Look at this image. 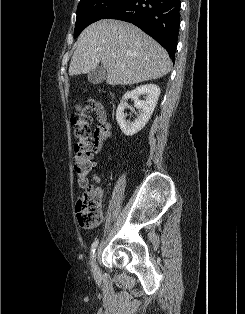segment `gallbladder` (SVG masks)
I'll return each instance as SVG.
<instances>
[{
  "instance_id": "bac80fb5",
  "label": "gallbladder",
  "mask_w": 245,
  "mask_h": 314,
  "mask_svg": "<svg viewBox=\"0 0 245 314\" xmlns=\"http://www.w3.org/2000/svg\"><path fill=\"white\" fill-rule=\"evenodd\" d=\"M106 75V70L102 66H97L94 70L88 73L87 78L90 83L96 85L104 82Z\"/></svg>"
}]
</instances>
